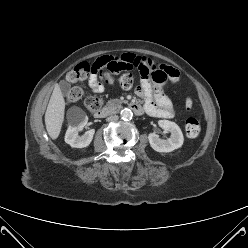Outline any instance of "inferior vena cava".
<instances>
[{
    "instance_id": "obj_1",
    "label": "inferior vena cava",
    "mask_w": 248,
    "mask_h": 248,
    "mask_svg": "<svg viewBox=\"0 0 248 248\" xmlns=\"http://www.w3.org/2000/svg\"><path fill=\"white\" fill-rule=\"evenodd\" d=\"M118 116L117 115H111V116H109V117H107V121H116V120H118Z\"/></svg>"
}]
</instances>
